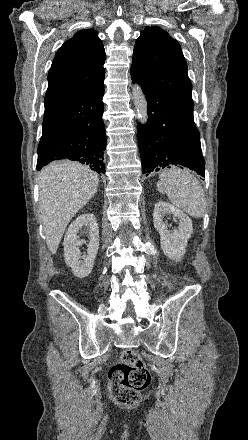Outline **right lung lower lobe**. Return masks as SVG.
Wrapping results in <instances>:
<instances>
[{
  "instance_id": "1",
  "label": "right lung lower lobe",
  "mask_w": 248,
  "mask_h": 440,
  "mask_svg": "<svg viewBox=\"0 0 248 440\" xmlns=\"http://www.w3.org/2000/svg\"><path fill=\"white\" fill-rule=\"evenodd\" d=\"M103 95L104 84L97 90L45 105L37 170L51 161L69 159L105 173Z\"/></svg>"
}]
</instances>
